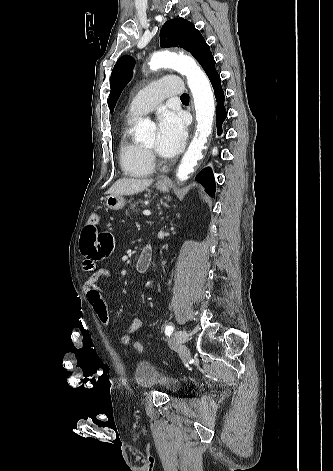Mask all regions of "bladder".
I'll use <instances>...</instances> for the list:
<instances>
[{"mask_svg":"<svg viewBox=\"0 0 333 471\" xmlns=\"http://www.w3.org/2000/svg\"><path fill=\"white\" fill-rule=\"evenodd\" d=\"M136 384L143 389L158 388L167 394H176L182 388V382L148 361L139 362L133 372Z\"/></svg>","mask_w":333,"mask_h":471,"instance_id":"31cf9c89","label":"bladder"}]
</instances>
